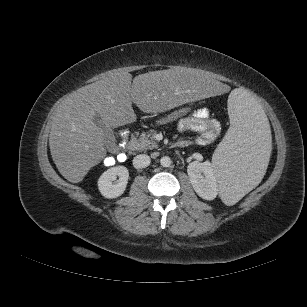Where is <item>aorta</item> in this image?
Masks as SVG:
<instances>
[{
	"label": "aorta",
	"mask_w": 307,
	"mask_h": 307,
	"mask_svg": "<svg viewBox=\"0 0 307 307\" xmlns=\"http://www.w3.org/2000/svg\"><path fill=\"white\" fill-rule=\"evenodd\" d=\"M171 163H172V161H171L170 157H168V156H163L160 159V164L163 167H170Z\"/></svg>",
	"instance_id": "1"
}]
</instances>
